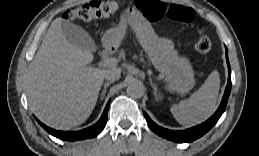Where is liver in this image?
I'll list each match as a JSON object with an SVG mask.
<instances>
[{"label": "liver", "mask_w": 259, "mask_h": 156, "mask_svg": "<svg viewBox=\"0 0 259 156\" xmlns=\"http://www.w3.org/2000/svg\"><path fill=\"white\" fill-rule=\"evenodd\" d=\"M62 22L56 18L51 23L26 78L30 109L44 124L59 130L85 122L97 103L105 73L120 71L89 66L93 54L66 40Z\"/></svg>", "instance_id": "1"}]
</instances>
